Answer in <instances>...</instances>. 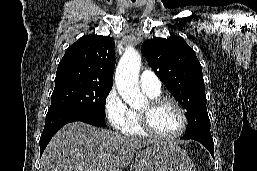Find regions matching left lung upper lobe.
<instances>
[{
	"label": "left lung upper lobe",
	"instance_id": "left-lung-upper-lobe-1",
	"mask_svg": "<svg viewBox=\"0 0 257 171\" xmlns=\"http://www.w3.org/2000/svg\"><path fill=\"white\" fill-rule=\"evenodd\" d=\"M142 51L158 78L187 111L184 136L212 137L202 68L193 49L183 38L172 36L146 41Z\"/></svg>",
	"mask_w": 257,
	"mask_h": 171
}]
</instances>
